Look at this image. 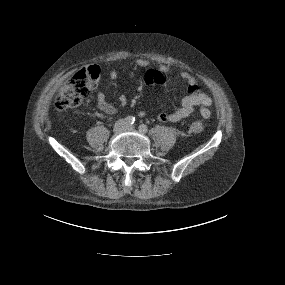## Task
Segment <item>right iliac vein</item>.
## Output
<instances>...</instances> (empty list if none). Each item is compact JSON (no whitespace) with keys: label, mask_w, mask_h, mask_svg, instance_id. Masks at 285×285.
<instances>
[{"label":"right iliac vein","mask_w":285,"mask_h":285,"mask_svg":"<svg viewBox=\"0 0 285 285\" xmlns=\"http://www.w3.org/2000/svg\"><path fill=\"white\" fill-rule=\"evenodd\" d=\"M126 122L124 120H119L114 125V131L115 132H121L126 128Z\"/></svg>","instance_id":"63e3f726"}]
</instances>
